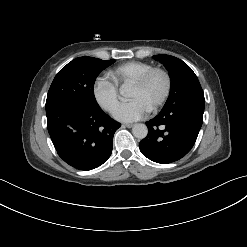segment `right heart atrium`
<instances>
[{
    "label": "right heart atrium",
    "instance_id": "right-heart-atrium-1",
    "mask_svg": "<svg viewBox=\"0 0 247 247\" xmlns=\"http://www.w3.org/2000/svg\"><path fill=\"white\" fill-rule=\"evenodd\" d=\"M92 90L99 106L105 111H113L119 99L118 84L110 76L102 75L96 78Z\"/></svg>",
    "mask_w": 247,
    "mask_h": 247
}]
</instances>
